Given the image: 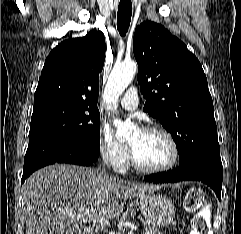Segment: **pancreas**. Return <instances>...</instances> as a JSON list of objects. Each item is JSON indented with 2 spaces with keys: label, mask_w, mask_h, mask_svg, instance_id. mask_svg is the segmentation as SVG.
<instances>
[{
  "label": "pancreas",
  "mask_w": 241,
  "mask_h": 234,
  "mask_svg": "<svg viewBox=\"0 0 241 234\" xmlns=\"http://www.w3.org/2000/svg\"><path fill=\"white\" fill-rule=\"evenodd\" d=\"M145 231V234H163L162 232L157 231V229L154 228H146Z\"/></svg>",
  "instance_id": "pancreas-1"
}]
</instances>
